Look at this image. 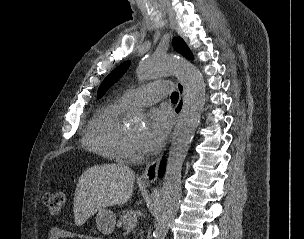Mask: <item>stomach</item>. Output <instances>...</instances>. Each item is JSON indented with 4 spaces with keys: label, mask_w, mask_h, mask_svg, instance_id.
<instances>
[{
    "label": "stomach",
    "mask_w": 304,
    "mask_h": 239,
    "mask_svg": "<svg viewBox=\"0 0 304 239\" xmlns=\"http://www.w3.org/2000/svg\"><path fill=\"white\" fill-rule=\"evenodd\" d=\"M116 216L110 209H100L96 216L98 230L105 235L111 234L115 229Z\"/></svg>",
    "instance_id": "stomach-1"
}]
</instances>
